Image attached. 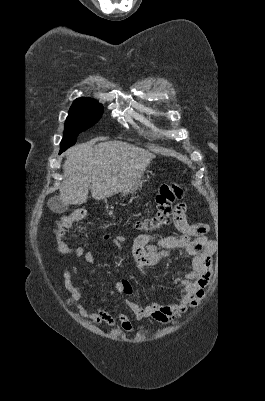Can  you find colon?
<instances>
[{
	"mask_svg": "<svg viewBox=\"0 0 265 401\" xmlns=\"http://www.w3.org/2000/svg\"><path fill=\"white\" fill-rule=\"evenodd\" d=\"M186 194V188L180 184H164L156 195V212L137 222V228L143 231H152L169 224L171 219L172 204L175 200L181 199ZM85 210L76 208L69 214L64 215L57 223L55 230L57 247L63 254L69 253V248L63 241V235L75 222L85 217Z\"/></svg>",
	"mask_w": 265,
	"mask_h": 401,
	"instance_id": "1",
	"label": "colon"
}]
</instances>
